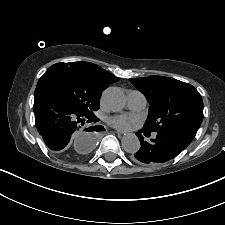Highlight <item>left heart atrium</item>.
I'll return each instance as SVG.
<instances>
[{"label":"left heart atrium","instance_id":"39dd6f15","mask_svg":"<svg viewBox=\"0 0 225 225\" xmlns=\"http://www.w3.org/2000/svg\"><path fill=\"white\" fill-rule=\"evenodd\" d=\"M110 123L120 130H130L135 126L136 120L130 116L121 115L112 117Z\"/></svg>","mask_w":225,"mask_h":225}]
</instances>
